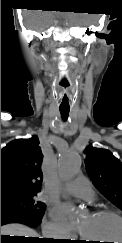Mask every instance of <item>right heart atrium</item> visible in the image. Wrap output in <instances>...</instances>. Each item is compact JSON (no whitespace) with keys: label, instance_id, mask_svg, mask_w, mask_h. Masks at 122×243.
Returning a JSON list of instances; mask_svg holds the SVG:
<instances>
[{"label":"right heart atrium","instance_id":"right-heart-atrium-1","mask_svg":"<svg viewBox=\"0 0 122 243\" xmlns=\"http://www.w3.org/2000/svg\"><path fill=\"white\" fill-rule=\"evenodd\" d=\"M45 233L53 238H68L71 235L59 224L57 221L52 220L45 224Z\"/></svg>","mask_w":122,"mask_h":243}]
</instances>
